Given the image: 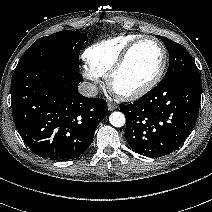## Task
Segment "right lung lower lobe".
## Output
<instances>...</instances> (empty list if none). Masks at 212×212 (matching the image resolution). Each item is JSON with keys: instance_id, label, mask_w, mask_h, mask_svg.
Wrapping results in <instances>:
<instances>
[{"instance_id": "98d812e1", "label": "right lung lower lobe", "mask_w": 212, "mask_h": 212, "mask_svg": "<svg viewBox=\"0 0 212 212\" xmlns=\"http://www.w3.org/2000/svg\"><path fill=\"white\" fill-rule=\"evenodd\" d=\"M81 80L79 70L54 62L14 71V123L26 145L38 156L58 161L79 157L107 116L105 100L78 92Z\"/></svg>"}]
</instances>
